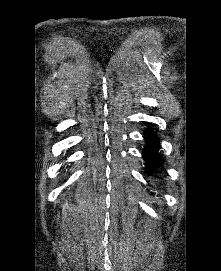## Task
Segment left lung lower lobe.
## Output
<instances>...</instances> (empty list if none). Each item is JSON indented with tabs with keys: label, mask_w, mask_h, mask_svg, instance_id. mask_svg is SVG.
<instances>
[{
	"label": "left lung lower lobe",
	"mask_w": 221,
	"mask_h": 271,
	"mask_svg": "<svg viewBox=\"0 0 221 271\" xmlns=\"http://www.w3.org/2000/svg\"><path fill=\"white\" fill-rule=\"evenodd\" d=\"M144 139L146 141V146L142 150V155L145 160L146 169L151 174L156 168L163 162L159 150V138L151 128L144 131Z\"/></svg>",
	"instance_id": "0a47b994"
}]
</instances>
